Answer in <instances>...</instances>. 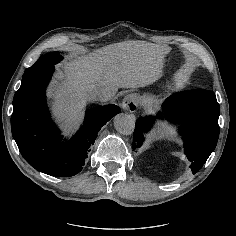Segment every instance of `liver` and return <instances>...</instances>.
I'll return each instance as SVG.
<instances>
[{
	"label": "liver",
	"instance_id": "obj_1",
	"mask_svg": "<svg viewBox=\"0 0 236 236\" xmlns=\"http://www.w3.org/2000/svg\"><path fill=\"white\" fill-rule=\"evenodd\" d=\"M169 51L166 45L125 41L63 63L64 73L59 78L63 84L54 83L50 91L59 100L55 104L58 116L71 115L69 121H72L96 87L115 93L118 88H140L158 81L163 76V68L156 61Z\"/></svg>",
	"mask_w": 236,
	"mask_h": 236
}]
</instances>
